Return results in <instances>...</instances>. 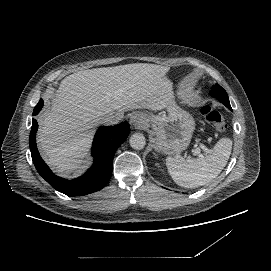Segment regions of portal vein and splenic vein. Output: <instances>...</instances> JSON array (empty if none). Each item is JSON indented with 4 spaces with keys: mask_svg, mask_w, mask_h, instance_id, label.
<instances>
[{
    "mask_svg": "<svg viewBox=\"0 0 271 271\" xmlns=\"http://www.w3.org/2000/svg\"><path fill=\"white\" fill-rule=\"evenodd\" d=\"M201 149L204 150L206 153H210V150L203 144H200V147H195L194 155H198L199 157H203L202 154H200Z\"/></svg>",
    "mask_w": 271,
    "mask_h": 271,
    "instance_id": "1",
    "label": "portal vein and splenic vein"
}]
</instances>
